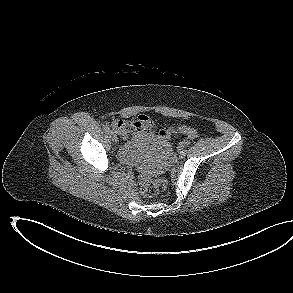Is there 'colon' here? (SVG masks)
<instances>
[{
  "label": "colon",
  "instance_id": "1",
  "mask_svg": "<svg viewBox=\"0 0 293 293\" xmlns=\"http://www.w3.org/2000/svg\"><path fill=\"white\" fill-rule=\"evenodd\" d=\"M175 132L184 133L190 138L198 137V132L188 126H180L177 129H164L159 133V135L162 139L168 140ZM166 186L167 181L165 179H150L148 177H145L140 182V192L146 197H153L157 195L160 190H164Z\"/></svg>",
  "mask_w": 293,
  "mask_h": 293
}]
</instances>
